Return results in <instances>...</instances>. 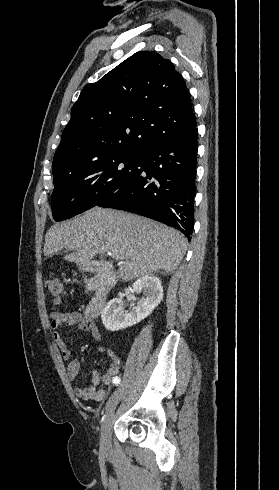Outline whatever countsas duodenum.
Segmentation results:
<instances>
[{
    "mask_svg": "<svg viewBox=\"0 0 279 490\" xmlns=\"http://www.w3.org/2000/svg\"><path fill=\"white\" fill-rule=\"evenodd\" d=\"M85 269L98 275L100 287L97 294L89 301L85 308V316L93 319L102 311L111 290L117 282L115 272L110 263L106 261H89Z\"/></svg>",
    "mask_w": 279,
    "mask_h": 490,
    "instance_id": "410a0bca",
    "label": "duodenum"
}]
</instances>
